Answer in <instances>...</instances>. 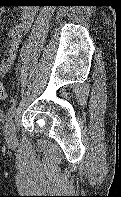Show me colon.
<instances>
[{
  "mask_svg": "<svg viewBox=\"0 0 121 197\" xmlns=\"http://www.w3.org/2000/svg\"><path fill=\"white\" fill-rule=\"evenodd\" d=\"M7 98H8L7 92L2 82L0 81V100H7Z\"/></svg>",
  "mask_w": 121,
  "mask_h": 197,
  "instance_id": "colon-1",
  "label": "colon"
}]
</instances>
